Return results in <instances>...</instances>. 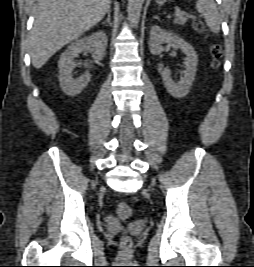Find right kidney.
Masks as SVG:
<instances>
[{"label":"right kidney","instance_id":"right-kidney-1","mask_svg":"<svg viewBox=\"0 0 254 267\" xmlns=\"http://www.w3.org/2000/svg\"><path fill=\"white\" fill-rule=\"evenodd\" d=\"M107 36L103 31H97L89 36L81 38L72 43L64 53L60 56L59 67V82L62 90L70 96H76L90 82L91 75L86 72L81 77L73 78V69L75 68L74 58L80 53L90 52L96 61H101L106 53Z\"/></svg>","mask_w":254,"mask_h":267}]
</instances>
